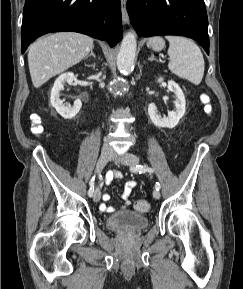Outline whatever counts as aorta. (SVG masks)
<instances>
[{
    "label": "aorta",
    "mask_w": 243,
    "mask_h": 289,
    "mask_svg": "<svg viewBox=\"0 0 243 289\" xmlns=\"http://www.w3.org/2000/svg\"><path fill=\"white\" fill-rule=\"evenodd\" d=\"M137 48L135 33L128 32L120 46L119 53L117 55V68L122 74H129L134 67L135 53Z\"/></svg>",
    "instance_id": "1"
}]
</instances>
